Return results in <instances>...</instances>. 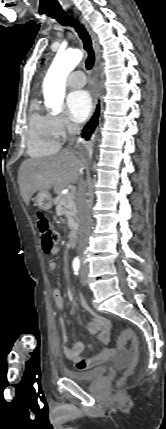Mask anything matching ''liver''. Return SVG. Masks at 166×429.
<instances>
[{"label": "liver", "mask_w": 166, "mask_h": 429, "mask_svg": "<svg viewBox=\"0 0 166 429\" xmlns=\"http://www.w3.org/2000/svg\"><path fill=\"white\" fill-rule=\"evenodd\" d=\"M85 159L66 149L47 158H30L22 162L18 182L22 199L29 205L36 192H47L54 188L60 193L69 184H76L83 171Z\"/></svg>", "instance_id": "obj_1"}]
</instances>
